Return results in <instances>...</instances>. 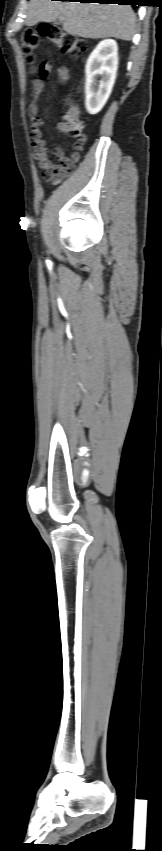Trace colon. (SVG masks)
I'll return each mask as SVG.
<instances>
[{
    "mask_svg": "<svg viewBox=\"0 0 162 851\" xmlns=\"http://www.w3.org/2000/svg\"><path fill=\"white\" fill-rule=\"evenodd\" d=\"M40 36L55 43L62 52L74 57L81 56L87 50V43L74 34L63 31L56 25H44L38 32L25 30L20 37L21 48L28 64L33 65L35 54L40 45ZM63 131L74 140L70 162L59 167L52 176L53 182H61L71 171L73 162L78 159L85 143L84 124L75 109L68 110L63 116Z\"/></svg>",
    "mask_w": 162,
    "mask_h": 851,
    "instance_id": "1",
    "label": "colon"
}]
</instances>
